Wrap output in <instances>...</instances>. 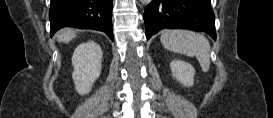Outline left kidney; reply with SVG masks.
<instances>
[{
    "label": "left kidney",
    "instance_id": "5707ae66",
    "mask_svg": "<svg viewBox=\"0 0 273 118\" xmlns=\"http://www.w3.org/2000/svg\"><path fill=\"white\" fill-rule=\"evenodd\" d=\"M172 76L185 87H191L194 84L195 69L191 64L173 60L170 63Z\"/></svg>",
    "mask_w": 273,
    "mask_h": 118
}]
</instances>
